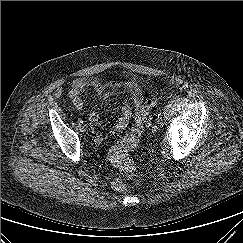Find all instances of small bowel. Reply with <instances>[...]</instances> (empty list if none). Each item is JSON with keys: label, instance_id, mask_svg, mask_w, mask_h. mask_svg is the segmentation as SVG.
Here are the masks:
<instances>
[{"label": "small bowel", "instance_id": "small-bowel-1", "mask_svg": "<svg viewBox=\"0 0 243 243\" xmlns=\"http://www.w3.org/2000/svg\"><path fill=\"white\" fill-rule=\"evenodd\" d=\"M91 90L104 98H109L117 94L119 91L125 90L132 97L135 106H139L143 101L142 87L136 81L127 83H121L118 81L102 82L98 77L87 76L74 80L69 90V97L73 106L77 110L83 109V96L88 94ZM131 114V106L128 103L123 104L121 107L120 118L113 128L114 133L121 132L128 126ZM86 115L94 131L99 129L103 124L102 118L94 109H88ZM94 140L96 144H100L103 140L102 135L96 132Z\"/></svg>", "mask_w": 243, "mask_h": 243}]
</instances>
